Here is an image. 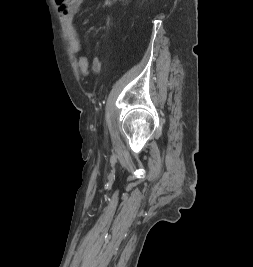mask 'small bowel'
<instances>
[{"mask_svg":"<svg viewBox=\"0 0 253 267\" xmlns=\"http://www.w3.org/2000/svg\"><path fill=\"white\" fill-rule=\"evenodd\" d=\"M85 0H74V2L70 5H60L58 0H56L60 16L64 22L67 37L69 40L70 49L73 53V55L78 60V65L80 69L86 70L88 67V60L87 58L82 54V43L80 39V34L76 22V14L78 13L81 4ZM117 0H105L104 6L110 7L113 5V3ZM102 63L101 59H96L94 61V65L100 66Z\"/></svg>","mask_w":253,"mask_h":267,"instance_id":"small-bowel-1","label":"small bowel"}]
</instances>
